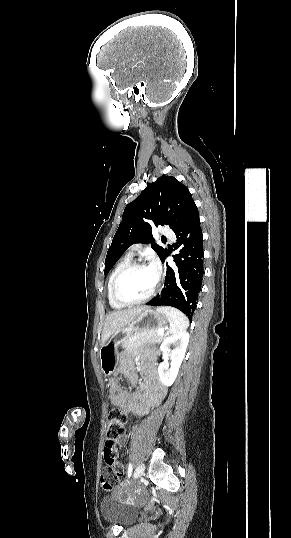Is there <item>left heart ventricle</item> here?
Wrapping results in <instances>:
<instances>
[{
  "instance_id": "1",
  "label": "left heart ventricle",
  "mask_w": 291,
  "mask_h": 538,
  "mask_svg": "<svg viewBox=\"0 0 291 538\" xmlns=\"http://www.w3.org/2000/svg\"><path fill=\"white\" fill-rule=\"evenodd\" d=\"M155 279L149 268L135 269L121 279L118 286L119 295L126 300L140 299L150 292Z\"/></svg>"
}]
</instances>
